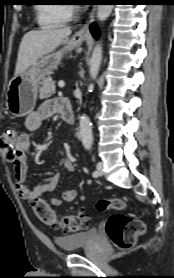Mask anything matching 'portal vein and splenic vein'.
<instances>
[{"instance_id": "obj_1", "label": "portal vein and splenic vein", "mask_w": 174, "mask_h": 278, "mask_svg": "<svg viewBox=\"0 0 174 278\" xmlns=\"http://www.w3.org/2000/svg\"><path fill=\"white\" fill-rule=\"evenodd\" d=\"M58 86H59L60 88H63V87L65 86V83H64L63 81H60V82L58 83Z\"/></svg>"}]
</instances>
